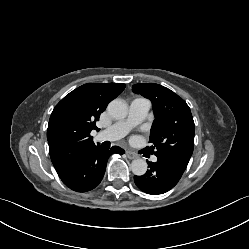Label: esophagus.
Instances as JSON below:
<instances>
[{
	"mask_svg": "<svg viewBox=\"0 0 249 249\" xmlns=\"http://www.w3.org/2000/svg\"><path fill=\"white\" fill-rule=\"evenodd\" d=\"M126 155L129 159H135L138 158V155L135 152H132L130 150H126Z\"/></svg>",
	"mask_w": 249,
	"mask_h": 249,
	"instance_id": "34e87169",
	"label": "esophagus"
}]
</instances>
